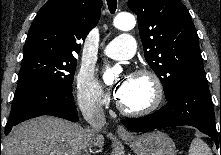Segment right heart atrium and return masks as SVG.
<instances>
[{
  "label": "right heart atrium",
  "mask_w": 221,
  "mask_h": 155,
  "mask_svg": "<svg viewBox=\"0 0 221 155\" xmlns=\"http://www.w3.org/2000/svg\"><path fill=\"white\" fill-rule=\"evenodd\" d=\"M75 92L78 102L84 106L100 107L108 100L93 72L88 69L79 71L75 81Z\"/></svg>",
  "instance_id": "1"
}]
</instances>
